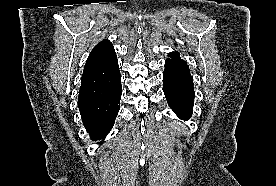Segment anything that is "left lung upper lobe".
<instances>
[{"label":"left lung upper lobe","instance_id":"obj_1","mask_svg":"<svg viewBox=\"0 0 276 186\" xmlns=\"http://www.w3.org/2000/svg\"><path fill=\"white\" fill-rule=\"evenodd\" d=\"M168 56H170L171 59L181 60V59L179 58V53H178V52H171V53L168 54Z\"/></svg>","mask_w":276,"mask_h":186}]
</instances>
